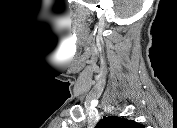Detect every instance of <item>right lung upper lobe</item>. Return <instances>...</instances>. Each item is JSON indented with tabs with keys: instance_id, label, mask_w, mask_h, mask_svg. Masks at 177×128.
Returning a JSON list of instances; mask_svg holds the SVG:
<instances>
[{
	"instance_id": "1",
	"label": "right lung upper lobe",
	"mask_w": 177,
	"mask_h": 128,
	"mask_svg": "<svg viewBox=\"0 0 177 128\" xmlns=\"http://www.w3.org/2000/svg\"><path fill=\"white\" fill-rule=\"evenodd\" d=\"M99 128H142L143 126L133 120H127L124 118L109 116L104 117L98 125Z\"/></svg>"
}]
</instances>
